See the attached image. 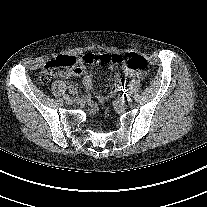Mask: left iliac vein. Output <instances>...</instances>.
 I'll use <instances>...</instances> for the list:
<instances>
[{"instance_id": "left-iliac-vein-1", "label": "left iliac vein", "mask_w": 207, "mask_h": 207, "mask_svg": "<svg viewBox=\"0 0 207 207\" xmlns=\"http://www.w3.org/2000/svg\"><path fill=\"white\" fill-rule=\"evenodd\" d=\"M120 104L124 105V104H128V103H131L132 102V99H127L125 97L121 98L118 100Z\"/></svg>"}]
</instances>
